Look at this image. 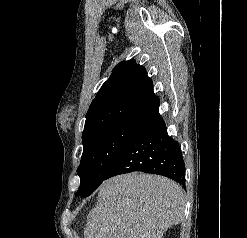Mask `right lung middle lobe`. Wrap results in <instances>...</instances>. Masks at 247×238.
Returning <instances> with one entry per match:
<instances>
[{"label":"right lung middle lobe","instance_id":"obj_1","mask_svg":"<svg viewBox=\"0 0 247 238\" xmlns=\"http://www.w3.org/2000/svg\"><path fill=\"white\" fill-rule=\"evenodd\" d=\"M146 122L144 119H121L82 137L84 150L77 169L80 186L76 196L87 197L96 190L106 179L111 166Z\"/></svg>","mask_w":247,"mask_h":238}]
</instances>
